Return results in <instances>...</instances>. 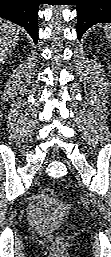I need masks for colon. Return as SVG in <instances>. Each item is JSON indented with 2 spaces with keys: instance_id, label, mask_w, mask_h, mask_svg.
Masks as SVG:
<instances>
[{
  "instance_id": "1",
  "label": "colon",
  "mask_w": 111,
  "mask_h": 257,
  "mask_svg": "<svg viewBox=\"0 0 111 257\" xmlns=\"http://www.w3.org/2000/svg\"><path fill=\"white\" fill-rule=\"evenodd\" d=\"M53 195H54L53 189H51L49 187H44L41 189L37 201L40 203L46 202V203L50 204L57 211L63 210V208H64L63 205L55 202L53 200ZM59 240L60 239H58V241Z\"/></svg>"
}]
</instances>
